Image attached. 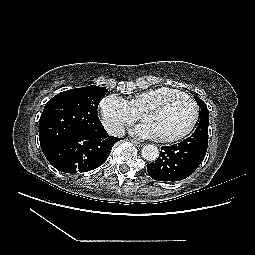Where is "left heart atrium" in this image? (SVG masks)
Here are the masks:
<instances>
[{
    "mask_svg": "<svg viewBox=\"0 0 255 255\" xmlns=\"http://www.w3.org/2000/svg\"><path fill=\"white\" fill-rule=\"evenodd\" d=\"M133 132L144 138H156V133L154 128L147 122H143L136 126L133 130Z\"/></svg>",
    "mask_w": 255,
    "mask_h": 255,
    "instance_id": "1",
    "label": "left heart atrium"
}]
</instances>
